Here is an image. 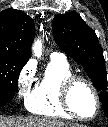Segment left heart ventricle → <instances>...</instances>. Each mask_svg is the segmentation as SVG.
<instances>
[{"label":"left heart ventricle","instance_id":"b2bd125f","mask_svg":"<svg viewBox=\"0 0 108 127\" xmlns=\"http://www.w3.org/2000/svg\"><path fill=\"white\" fill-rule=\"evenodd\" d=\"M72 104L82 116L89 117L95 111V98L92 92L84 85L77 84L72 91Z\"/></svg>","mask_w":108,"mask_h":127}]
</instances>
